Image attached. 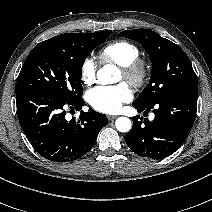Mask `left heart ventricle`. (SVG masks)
<instances>
[{
	"label": "left heart ventricle",
	"instance_id": "obj_1",
	"mask_svg": "<svg viewBox=\"0 0 212 212\" xmlns=\"http://www.w3.org/2000/svg\"><path fill=\"white\" fill-rule=\"evenodd\" d=\"M122 79H124V77H123L122 72H120V74H119V80H122Z\"/></svg>",
	"mask_w": 212,
	"mask_h": 212
}]
</instances>
